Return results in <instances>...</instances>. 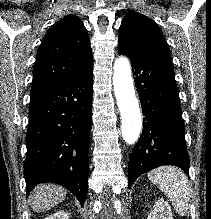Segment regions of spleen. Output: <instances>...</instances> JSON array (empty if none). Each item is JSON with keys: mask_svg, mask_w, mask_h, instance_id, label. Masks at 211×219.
<instances>
[{"mask_svg": "<svg viewBox=\"0 0 211 219\" xmlns=\"http://www.w3.org/2000/svg\"><path fill=\"white\" fill-rule=\"evenodd\" d=\"M148 178L169 198L175 211L185 215L189 209L190 188L182 170L167 166L153 170Z\"/></svg>", "mask_w": 211, "mask_h": 219, "instance_id": "obj_1", "label": "spleen"}]
</instances>
